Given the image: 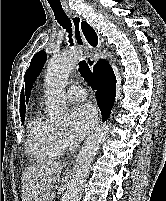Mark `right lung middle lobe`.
Here are the masks:
<instances>
[{
    "instance_id": "right-lung-middle-lobe-1",
    "label": "right lung middle lobe",
    "mask_w": 166,
    "mask_h": 201,
    "mask_svg": "<svg viewBox=\"0 0 166 201\" xmlns=\"http://www.w3.org/2000/svg\"><path fill=\"white\" fill-rule=\"evenodd\" d=\"M25 118H21L22 123L24 122Z\"/></svg>"
}]
</instances>
